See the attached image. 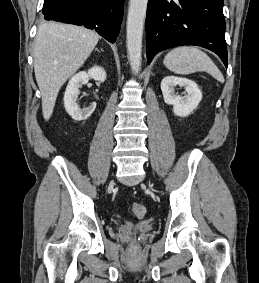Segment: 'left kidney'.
<instances>
[{
    "label": "left kidney",
    "mask_w": 259,
    "mask_h": 283,
    "mask_svg": "<svg viewBox=\"0 0 259 283\" xmlns=\"http://www.w3.org/2000/svg\"><path fill=\"white\" fill-rule=\"evenodd\" d=\"M177 85L185 87L186 94L184 96L175 94ZM161 90L164 102L173 105L174 114L180 117L189 116L202 100V93L198 85L185 78L167 76L161 82Z\"/></svg>",
    "instance_id": "1"
}]
</instances>
